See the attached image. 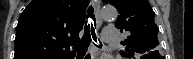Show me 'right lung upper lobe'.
Here are the masks:
<instances>
[{
	"instance_id": "cb5924a9",
	"label": "right lung upper lobe",
	"mask_w": 193,
	"mask_h": 59,
	"mask_svg": "<svg viewBox=\"0 0 193 59\" xmlns=\"http://www.w3.org/2000/svg\"><path fill=\"white\" fill-rule=\"evenodd\" d=\"M89 0H32L17 25L14 59H71Z\"/></svg>"
}]
</instances>
